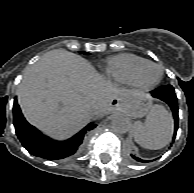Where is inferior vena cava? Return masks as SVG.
I'll return each mask as SVG.
<instances>
[{"label": "inferior vena cava", "instance_id": "obj_1", "mask_svg": "<svg viewBox=\"0 0 194 193\" xmlns=\"http://www.w3.org/2000/svg\"><path fill=\"white\" fill-rule=\"evenodd\" d=\"M98 106H99V105H98L97 102H92V103L90 104V106H89L90 112H92V113L97 112Z\"/></svg>", "mask_w": 194, "mask_h": 193}]
</instances>
